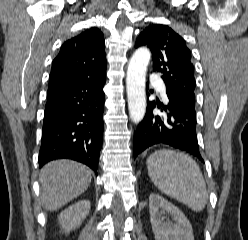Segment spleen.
<instances>
[{
	"label": "spleen",
	"mask_w": 248,
	"mask_h": 240,
	"mask_svg": "<svg viewBox=\"0 0 248 240\" xmlns=\"http://www.w3.org/2000/svg\"><path fill=\"white\" fill-rule=\"evenodd\" d=\"M148 174L154 185L166 195L200 212L208 194L200 167L189 155L161 149L147 159Z\"/></svg>",
	"instance_id": "1"
}]
</instances>
